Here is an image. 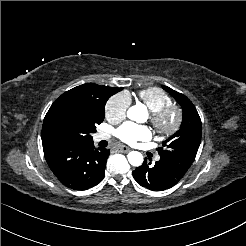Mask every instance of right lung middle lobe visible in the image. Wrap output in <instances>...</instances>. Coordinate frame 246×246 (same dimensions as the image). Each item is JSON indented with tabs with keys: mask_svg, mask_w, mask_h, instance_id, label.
Masks as SVG:
<instances>
[{
	"mask_svg": "<svg viewBox=\"0 0 246 246\" xmlns=\"http://www.w3.org/2000/svg\"><path fill=\"white\" fill-rule=\"evenodd\" d=\"M104 105L65 104L44 119L42 142H90L96 125L104 120Z\"/></svg>",
	"mask_w": 246,
	"mask_h": 246,
	"instance_id": "1",
	"label": "right lung middle lobe"
}]
</instances>
